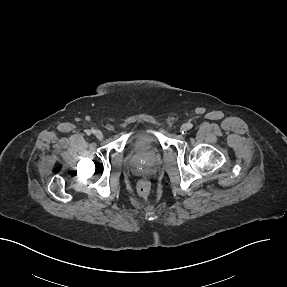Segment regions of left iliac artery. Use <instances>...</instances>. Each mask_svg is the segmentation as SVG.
<instances>
[{
	"instance_id": "1",
	"label": "left iliac artery",
	"mask_w": 287,
	"mask_h": 287,
	"mask_svg": "<svg viewBox=\"0 0 287 287\" xmlns=\"http://www.w3.org/2000/svg\"><path fill=\"white\" fill-rule=\"evenodd\" d=\"M187 127H188V129H191L193 127V125L191 123H187Z\"/></svg>"
}]
</instances>
